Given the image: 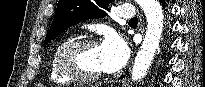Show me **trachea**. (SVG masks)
I'll list each match as a JSON object with an SVG mask.
<instances>
[{
  "mask_svg": "<svg viewBox=\"0 0 205 87\" xmlns=\"http://www.w3.org/2000/svg\"><path fill=\"white\" fill-rule=\"evenodd\" d=\"M137 21H138L137 17H134V18L129 20V22H137Z\"/></svg>",
  "mask_w": 205,
  "mask_h": 87,
  "instance_id": "3493384b",
  "label": "trachea"
}]
</instances>
